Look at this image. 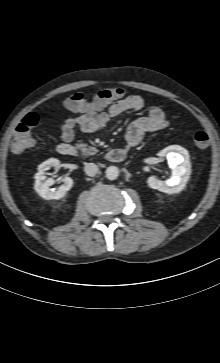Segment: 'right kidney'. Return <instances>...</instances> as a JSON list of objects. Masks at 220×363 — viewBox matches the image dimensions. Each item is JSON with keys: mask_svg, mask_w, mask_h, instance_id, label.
Wrapping results in <instances>:
<instances>
[{"mask_svg": "<svg viewBox=\"0 0 220 363\" xmlns=\"http://www.w3.org/2000/svg\"><path fill=\"white\" fill-rule=\"evenodd\" d=\"M60 161L56 158H50L38 166V172L35 175V190L44 199H61L65 196L66 192L69 191L73 186V179L67 177L57 190L50 188L53 184V179H46L45 171L49 170L51 167L59 166Z\"/></svg>", "mask_w": 220, "mask_h": 363, "instance_id": "ca27d5eb", "label": "right kidney"}]
</instances>
